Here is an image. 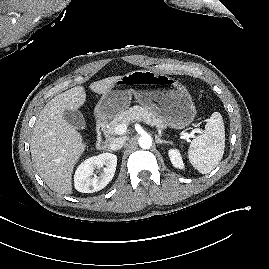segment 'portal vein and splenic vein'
Returning a JSON list of instances; mask_svg holds the SVG:
<instances>
[{"label": "portal vein and splenic vein", "mask_w": 269, "mask_h": 269, "mask_svg": "<svg viewBox=\"0 0 269 269\" xmlns=\"http://www.w3.org/2000/svg\"><path fill=\"white\" fill-rule=\"evenodd\" d=\"M127 131V125L126 124H120L118 125L116 128H115V134H118V135H122L124 134L125 132ZM200 132V129H194L192 130V132L190 133H187V132H182V136L185 138V139H189V138H194L195 137V133H198Z\"/></svg>", "instance_id": "portal-vein-and-splenic-vein-1"}]
</instances>
